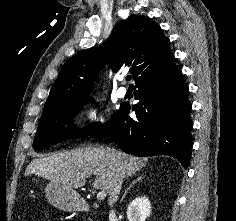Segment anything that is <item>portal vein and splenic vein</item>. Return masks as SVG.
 I'll return each mask as SVG.
<instances>
[{
    "mask_svg": "<svg viewBox=\"0 0 236 221\" xmlns=\"http://www.w3.org/2000/svg\"><path fill=\"white\" fill-rule=\"evenodd\" d=\"M106 197V191L101 190L100 192L97 193V199L98 200H103Z\"/></svg>",
    "mask_w": 236,
    "mask_h": 221,
    "instance_id": "portal-vein-and-splenic-vein-1",
    "label": "portal vein and splenic vein"
}]
</instances>
